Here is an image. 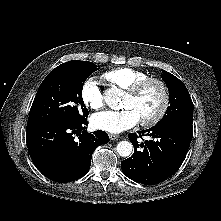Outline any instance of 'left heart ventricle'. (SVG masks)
<instances>
[{
	"label": "left heart ventricle",
	"mask_w": 221,
	"mask_h": 221,
	"mask_svg": "<svg viewBox=\"0 0 221 221\" xmlns=\"http://www.w3.org/2000/svg\"><path fill=\"white\" fill-rule=\"evenodd\" d=\"M162 91L157 84H150L137 97L125 96L122 108H130L136 112L139 119L152 117L162 103Z\"/></svg>",
	"instance_id": "1"
}]
</instances>
